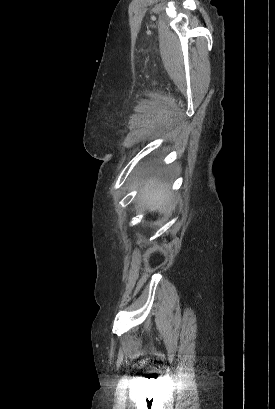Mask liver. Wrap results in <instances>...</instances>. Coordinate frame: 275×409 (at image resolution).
<instances>
[{"instance_id": "1", "label": "liver", "mask_w": 275, "mask_h": 409, "mask_svg": "<svg viewBox=\"0 0 275 409\" xmlns=\"http://www.w3.org/2000/svg\"><path fill=\"white\" fill-rule=\"evenodd\" d=\"M165 192V188H162V186L157 188L153 180H151V184H146L142 196L144 198V202L148 200L150 211H162L168 198V194H165Z\"/></svg>"}]
</instances>
